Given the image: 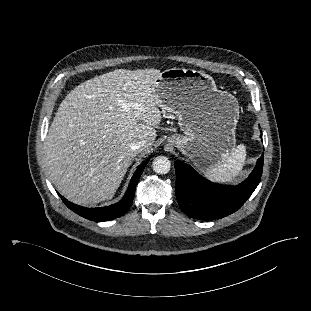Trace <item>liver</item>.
Segmentation results:
<instances>
[{
	"instance_id": "obj_1",
	"label": "liver",
	"mask_w": 311,
	"mask_h": 311,
	"mask_svg": "<svg viewBox=\"0 0 311 311\" xmlns=\"http://www.w3.org/2000/svg\"><path fill=\"white\" fill-rule=\"evenodd\" d=\"M160 74L117 69L81 83L61 102L46 138V164L50 181L71 202L112 199L136 156L131 143L144 140L140 151L150 150L162 119L154 88Z\"/></svg>"
}]
</instances>
